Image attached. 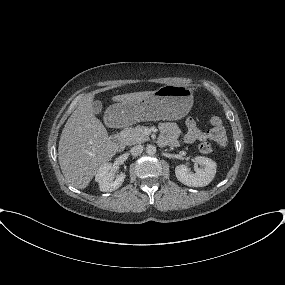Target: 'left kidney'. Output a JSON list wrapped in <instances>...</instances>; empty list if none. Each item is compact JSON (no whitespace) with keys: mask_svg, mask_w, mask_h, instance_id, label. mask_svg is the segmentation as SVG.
I'll list each match as a JSON object with an SVG mask.
<instances>
[{"mask_svg":"<svg viewBox=\"0 0 285 285\" xmlns=\"http://www.w3.org/2000/svg\"><path fill=\"white\" fill-rule=\"evenodd\" d=\"M196 163L204 165V169L197 168L195 173L189 172L185 165H179L175 168V175L177 179L189 187H204L208 185L216 174V163L207 157H195Z\"/></svg>","mask_w":285,"mask_h":285,"instance_id":"1","label":"left kidney"}]
</instances>
